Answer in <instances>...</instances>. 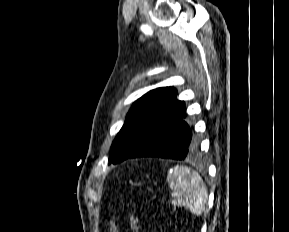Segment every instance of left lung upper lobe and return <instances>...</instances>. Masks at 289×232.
Instances as JSON below:
<instances>
[{"label": "left lung upper lobe", "mask_w": 289, "mask_h": 232, "mask_svg": "<svg viewBox=\"0 0 289 232\" xmlns=\"http://www.w3.org/2000/svg\"><path fill=\"white\" fill-rule=\"evenodd\" d=\"M176 89L161 87L149 91L131 107L111 146L109 162L125 160L144 145L158 130L172 121L184 106L176 99Z\"/></svg>", "instance_id": "left-lung-upper-lobe-1"}]
</instances>
